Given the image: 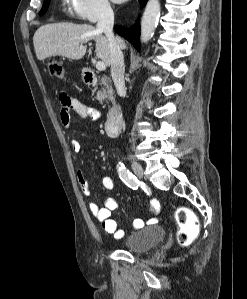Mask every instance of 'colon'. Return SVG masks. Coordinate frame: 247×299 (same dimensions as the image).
Here are the masks:
<instances>
[{
    "label": "colon",
    "mask_w": 247,
    "mask_h": 299,
    "mask_svg": "<svg viewBox=\"0 0 247 299\" xmlns=\"http://www.w3.org/2000/svg\"><path fill=\"white\" fill-rule=\"evenodd\" d=\"M50 75L62 79L64 77V68L56 59H50L48 62ZM175 220L179 226L177 240L182 245L189 244L198 233V220L196 216L187 208H178L175 211Z\"/></svg>",
    "instance_id": "colon-1"
}]
</instances>
